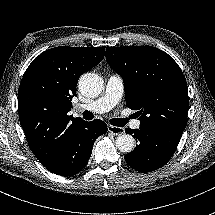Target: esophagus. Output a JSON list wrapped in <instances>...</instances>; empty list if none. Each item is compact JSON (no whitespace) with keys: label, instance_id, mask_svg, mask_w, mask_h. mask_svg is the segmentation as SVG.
Masks as SVG:
<instances>
[{"label":"esophagus","instance_id":"obj_1","mask_svg":"<svg viewBox=\"0 0 215 215\" xmlns=\"http://www.w3.org/2000/svg\"><path fill=\"white\" fill-rule=\"evenodd\" d=\"M108 132L112 133L113 135H122L124 134V128L118 126L108 125Z\"/></svg>","mask_w":215,"mask_h":215}]
</instances>
